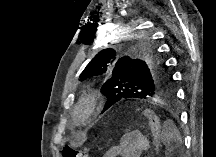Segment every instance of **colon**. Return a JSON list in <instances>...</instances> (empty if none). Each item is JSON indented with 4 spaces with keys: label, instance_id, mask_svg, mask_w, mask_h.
Returning <instances> with one entry per match:
<instances>
[{
    "label": "colon",
    "instance_id": "colon-1",
    "mask_svg": "<svg viewBox=\"0 0 216 157\" xmlns=\"http://www.w3.org/2000/svg\"><path fill=\"white\" fill-rule=\"evenodd\" d=\"M143 115L146 117L150 130L153 134H158L160 123L158 117L151 111H143ZM63 157H86L87 154L85 151L77 150L70 146H65L62 150Z\"/></svg>",
    "mask_w": 216,
    "mask_h": 157
}]
</instances>
